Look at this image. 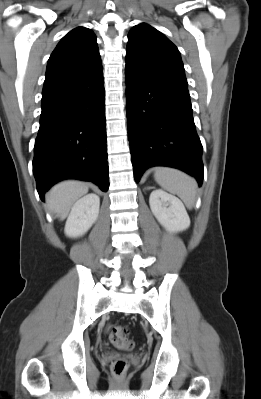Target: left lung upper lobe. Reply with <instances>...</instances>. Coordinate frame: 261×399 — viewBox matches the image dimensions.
I'll return each instance as SVG.
<instances>
[{
	"label": "left lung upper lobe",
	"mask_w": 261,
	"mask_h": 399,
	"mask_svg": "<svg viewBox=\"0 0 261 399\" xmlns=\"http://www.w3.org/2000/svg\"><path fill=\"white\" fill-rule=\"evenodd\" d=\"M128 39L126 69L149 80L187 87L180 52L161 32L141 23L130 30Z\"/></svg>",
	"instance_id": "1"
}]
</instances>
